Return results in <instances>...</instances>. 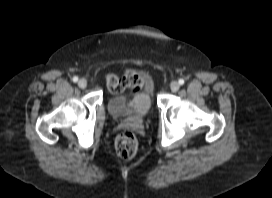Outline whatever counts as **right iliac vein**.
Returning a JSON list of instances; mask_svg holds the SVG:
<instances>
[{"label":"right iliac vein","mask_w":272,"mask_h":198,"mask_svg":"<svg viewBox=\"0 0 272 198\" xmlns=\"http://www.w3.org/2000/svg\"><path fill=\"white\" fill-rule=\"evenodd\" d=\"M78 86H79L80 88H85V87L87 86V81H86V79H84V78L80 79V80L78 81Z\"/></svg>","instance_id":"right-iliac-vein-1"}]
</instances>
